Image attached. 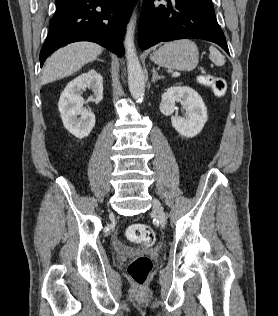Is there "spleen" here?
Masks as SVG:
<instances>
[{
    "label": "spleen",
    "mask_w": 278,
    "mask_h": 316,
    "mask_svg": "<svg viewBox=\"0 0 278 316\" xmlns=\"http://www.w3.org/2000/svg\"><path fill=\"white\" fill-rule=\"evenodd\" d=\"M209 58L217 66H222L225 64V57L213 46L209 47Z\"/></svg>",
    "instance_id": "obj_1"
}]
</instances>
